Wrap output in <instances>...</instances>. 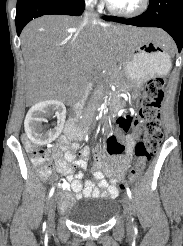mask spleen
Returning <instances> with one entry per match:
<instances>
[{"label":"spleen","mask_w":183,"mask_h":246,"mask_svg":"<svg viewBox=\"0 0 183 246\" xmlns=\"http://www.w3.org/2000/svg\"><path fill=\"white\" fill-rule=\"evenodd\" d=\"M146 60H147L146 56H139L133 61V65L136 66L138 64L144 63ZM170 68H171V63L169 64L167 72L170 70Z\"/></svg>","instance_id":"obj_1"}]
</instances>
